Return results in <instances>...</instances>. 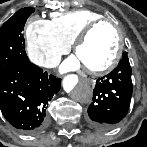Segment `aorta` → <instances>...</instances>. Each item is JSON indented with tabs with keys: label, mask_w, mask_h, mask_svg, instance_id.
Listing matches in <instances>:
<instances>
[{
	"label": "aorta",
	"mask_w": 147,
	"mask_h": 147,
	"mask_svg": "<svg viewBox=\"0 0 147 147\" xmlns=\"http://www.w3.org/2000/svg\"><path fill=\"white\" fill-rule=\"evenodd\" d=\"M73 98L81 103H88L92 99V88L87 82H79L71 91Z\"/></svg>",
	"instance_id": "1"
}]
</instances>
